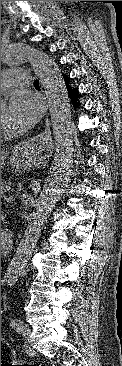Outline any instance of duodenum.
<instances>
[{
    "instance_id": "410a0bca",
    "label": "duodenum",
    "mask_w": 122,
    "mask_h": 366,
    "mask_svg": "<svg viewBox=\"0 0 122 366\" xmlns=\"http://www.w3.org/2000/svg\"><path fill=\"white\" fill-rule=\"evenodd\" d=\"M12 244V235L10 233H1V250L9 249Z\"/></svg>"
}]
</instances>
